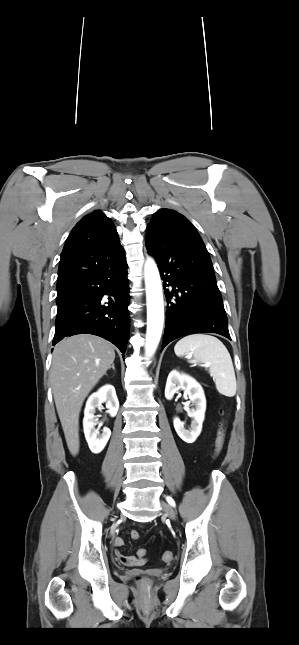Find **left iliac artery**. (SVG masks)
Here are the masks:
<instances>
[{"label":"left iliac artery","instance_id":"obj_1","mask_svg":"<svg viewBox=\"0 0 299 645\" xmlns=\"http://www.w3.org/2000/svg\"><path fill=\"white\" fill-rule=\"evenodd\" d=\"M167 501L171 506H173V507L175 506V502L171 497H167Z\"/></svg>","mask_w":299,"mask_h":645}]
</instances>
